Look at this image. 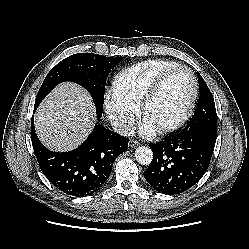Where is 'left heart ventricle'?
<instances>
[{"mask_svg": "<svg viewBox=\"0 0 249 249\" xmlns=\"http://www.w3.org/2000/svg\"><path fill=\"white\" fill-rule=\"evenodd\" d=\"M191 91L190 75L179 70L164 82L158 95L148 107L144 120L157 129L174 122L184 111Z\"/></svg>", "mask_w": 249, "mask_h": 249, "instance_id": "1", "label": "left heart ventricle"}]
</instances>
